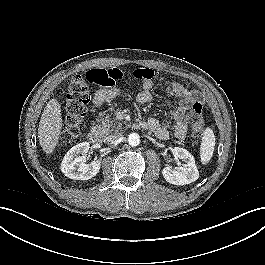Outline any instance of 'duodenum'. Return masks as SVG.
<instances>
[{"label":"duodenum","instance_id":"410a0bca","mask_svg":"<svg viewBox=\"0 0 265 265\" xmlns=\"http://www.w3.org/2000/svg\"><path fill=\"white\" fill-rule=\"evenodd\" d=\"M87 138L91 143L94 144L101 142V134L97 129H91L87 134Z\"/></svg>","mask_w":265,"mask_h":265}]
</instances>
